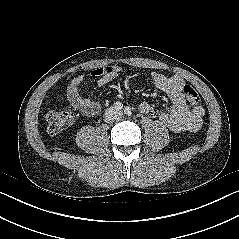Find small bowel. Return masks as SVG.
Returning <instances> with one entry per match:
<instances>
[{"mask_svg":"<svg viewBox=\"0 0 239 239\" xmlns=\"http://www.w3.org/2000/svg\"><path fill=\"white\" fill-rule=\"evenodd\" d=\"M121 74V67L118 65L104 66L96 69L93 75L97 77V84L103 86L116 79ZM84 73L76 74L69 82L66 91L67 102L75 110L80 111L84 116H96L101 105L87 98L81 97L79 86L86 79ZM153 84L157 89L164 92L170 99L172 106L161 112L160 121L172 132L181 133L196 131L201 128L205 110L201 105L190 106L183 95L185 81L179 75L166 76L160 72L151 74ZM139 112L148 114L151 106L148 102L139 104Z\"/></svg>","mask_w":239,"mask_h":239,"instance_id":"1","label":"small bowel"}]
</instances>
